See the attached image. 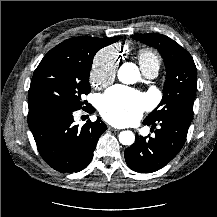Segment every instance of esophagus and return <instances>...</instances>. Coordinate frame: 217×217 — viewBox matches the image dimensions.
Instances as JSON below:
<instances>
[{
	"label": "esophagus",
	"instance_id": "34e87169",
	"mask_svg": "<svg viewBox=\"0 0 217 217\" xmlns=\"http://www.w3.org/2000/svg\"><path fill=\"white\" fill-rule=\"evenodd\" d=\"M108 129L111 130V131H118V129L112 127V126H108Z\"/></svg>",
	"mask_w": 217,
	"mask_h": 217
}]
</instances>
